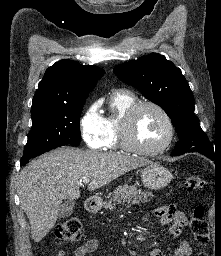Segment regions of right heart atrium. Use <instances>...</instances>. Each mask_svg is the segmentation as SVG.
Instances as JSON below:
<instances>
[{
  "mask_svg": "<svg viewBox=\"0 0 221 256\" xmlns=\"http://www.w3.org/2000/svg\"><path fill=\"white\" fill-rule=\"evenodd\" d=\"M82 138L93 149H102L106 145L107 131L105 118L97 102L91 103L82 113L79 121Z\"/></svg>",
  "mask_w": 221,
  "mask_h": 256,
  "instance_id": "right-heart-atrium-1",
  "label": "right heart atrium"
}]
</instances>
